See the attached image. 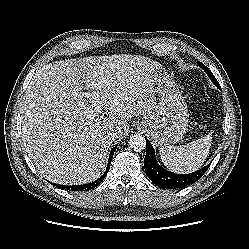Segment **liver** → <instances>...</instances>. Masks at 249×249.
I'll return each instance as SVG.
<instances>
[{
  "label": "liver",
  "mask_w": 249,
  "mask_h": 249,
  "mask_svg": "<svg viewBox=\"0 0 249 249\" xmlns=\"http://www.w3.org/2000/svg\"><path fill=\"white\" fill-rule=\"evenodd\" d=\"M159 65L121 54L56 61L37 70L23 97L21 122L26 152L39 173L64 185L98 178L128 121L155 109ZM94 92L99 111L86 95ZM113 129L115 139L108 136Z\"/></svg>",
  "instance_id": "obj_1"
}]
</instances>
